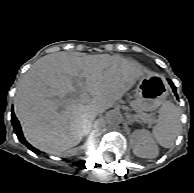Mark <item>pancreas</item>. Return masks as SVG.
<instances>
[{
    "label": "pancreas",
    "mask_w": 194,
    "mask_h": 193,
    "mask_svg": "<svg viewBox=\"0 0 194 193\" xmlns=\"http://www.w3.org/2000/svg\"><path fill=\"white\" fill-rule=\"evenodd\" d=\"M134 120H136L139 123H147L149 125L153 124L155 122V119L151 117L150 114L139 112L137 111V114L133 117Z\"/></svg>",
    "instance_id": "1"
}]
</instances>
